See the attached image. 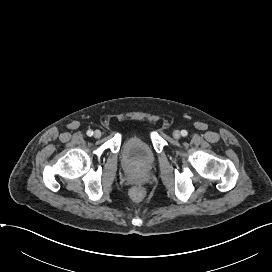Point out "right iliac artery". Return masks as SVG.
<instances>
[{
    "label": "right iliac artery",
    "instance_id": "82829eb1",
    "mask_svg": "<svg viewBox=\"0 0 272 272\" xmlns=\"http://www.w3.org/2000/svg\"><path fill=\"white\" fill-rule=\"evenodd\" d=\"M87 135H88V136H92V135H93V131H92V130H88V131H87Z\"/></svg>",
    "mask_w": 272,
    "mask_h": 272
}]
</instances>
